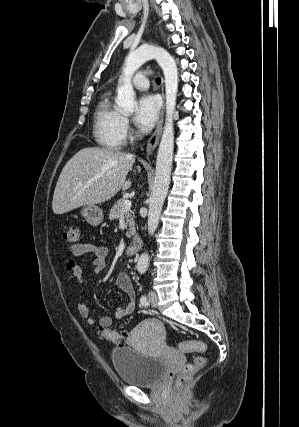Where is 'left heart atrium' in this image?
Segmentation results:
<instances>
[{
  "mask_svg": "<svg viewBox=\"0 0 299 427\" xmlns=\"http://www.w3.org/2000/svg\"><path fill=\"white\" fill-rule=\"evenodd\" d=\"M159 101L154 95L142 96L137 104L134 121L142 130L151 129L159 115Z\"/></svg>",
  "mask_w": 299,
  "mask_h": 427,
  "instance_id": "left-heart-atrium-1",
  "label": "left heart atrium"
}]
</instances>
